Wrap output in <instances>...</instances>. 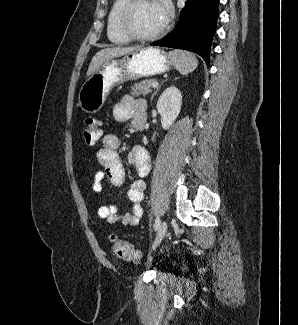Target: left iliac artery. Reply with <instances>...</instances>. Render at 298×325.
Instances as JSON below:
<instances>
[{"label": "left iliac artery", "instance_id": "obj_1", "mask_svg": "<svg viewBox=\"0 0 298 325\" xmlns=\"http://www.w3.org/2000/svg\"><path fill=\"white\" fill-rule=\"evenodd\" d=\"M160 225V218L157 217L156 220H155V223H154V229L157 230V228L159 227Z\"/></svg>", "mask_w": 298, "mask_h": 325}]
</instances>
